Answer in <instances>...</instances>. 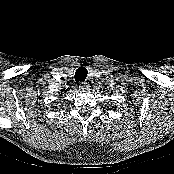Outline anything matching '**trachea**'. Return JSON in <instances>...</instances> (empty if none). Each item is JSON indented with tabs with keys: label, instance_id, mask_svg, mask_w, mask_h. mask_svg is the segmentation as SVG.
Here are the masks:
<instances>
[{
	"label": "trachea",
	"instance_id": "3493384b",
	"mask_svg": "<svg viewBox=\"0 0 174 174\" xmlns=\"http://www.w3.org/2000/svg\"><path fill=\"white\" fill-rule=\"evenodd\" d=\"M88 71L84 67H80L75 72V81L76 83L84 82L87 77Z\"/></svg>",
	"mask_w": 174,
	"mask_h": 174
}]
</instances>
